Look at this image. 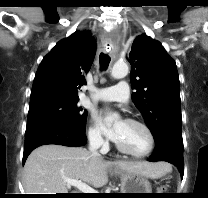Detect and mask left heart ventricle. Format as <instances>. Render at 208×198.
Segmentation results:
<instances>
[{"mask_svg": "<svg viewBox=\"0 0 208 198\" xmlns=\"http://www.w3.org/2000/svg\"><path fill=\"white\" fill-rule=\"evenodd\" d=\"M125 148L136 153H142L149 146V139L145 131L137 125L121 122L120 131L116 140Z\"/></svg>", "mask_w": 208, "mask_h": 198, "instance_id": "obj_1", "label": "left heart ventricle"}]
</instances>
